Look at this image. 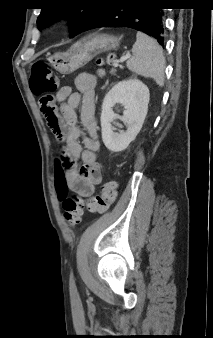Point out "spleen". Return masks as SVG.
<instances>
[{
  "mask_svg": "<svg viewBox=\"0 0 213 338\" xmlns=\"http://www.w3.org/2000/svg\"><path fill=\"white\" fill-rule=\"evenodd\" d=\"M132 52L133 56L127 61L128 69L143 77L152 78L162 87L166 61L158 43L148 35L137 32Z\"/></svg>",
  "mask_w": 213,
  "mask_h": 338,
  "instance_id": "obj_1",
  "label": "spleen"
}]
</instances>
